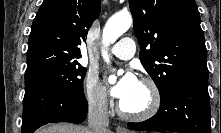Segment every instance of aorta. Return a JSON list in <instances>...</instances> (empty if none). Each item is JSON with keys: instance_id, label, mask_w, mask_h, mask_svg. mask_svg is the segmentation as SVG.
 <instances>
[{"instance_id": "762f6f07", "label": "aorta", "mask_w": 221, "mask_h": 133, "mask_svg": "<svg viewBox=\"0 0 221 133\" xmlns=\"http://www.w3.org/2000/svg\"><path fill=\"white\" fill-rule=\"evenodd\" d=\"M132 24V17L129 13H119L113 15L106 23L103 30V45L109 46L115 42L122 34H124ZM104 60L109 63V56L106 50H102ZM116 77L114 75L109 77V82L114 83Z\"/></svg>"}]
</instances>
